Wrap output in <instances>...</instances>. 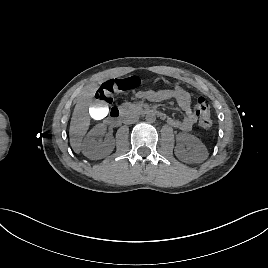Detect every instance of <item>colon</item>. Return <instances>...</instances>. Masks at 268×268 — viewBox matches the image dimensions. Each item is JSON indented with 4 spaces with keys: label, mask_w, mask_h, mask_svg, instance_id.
<instances>
[{
    "label": "colon",
    "mask_w": 268,
    "mask_h": 268,
    "mask_svg": "<svg viewBox=\"0 0 268 268\" xmlns=\"http://www.w3.org/2000/svg\"><path fill=\"white\" fill-rule=\"evenodd\" d=\"M140 85V79L132 76L125 79H112L106 81L96 92V99L110 103L113 96L118 92H125L135 89ZM195 112L199 117V124L204 130H209L212 126L210 106L203 97H199L195 104Z\"/></svg>",
    "instance_id": "obj_1"
}]
</instances>
